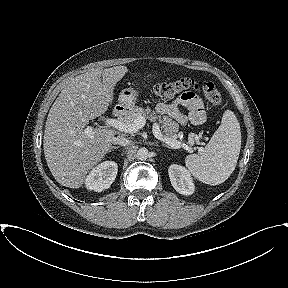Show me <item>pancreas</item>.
Here are the masks:
<instances>
[{
    "label": "pancreas",
    "instance_id": "1",
    "mask_svg": "<svg viewBox=\"0 0 288 288\" xmlns=\"http://www.w3.org/2000/svg\"><path fill=\"white\" fill-rule=\"evenodd\" d=\"M151 112L150 109H144L142 107L136 106L132 110L128 111L124 117L121 118V121L124 123H132L134 119H136L138 116H146ZM154 117V119H158L159 125L163 133L165 134L166 137L171 138V139H176L177 138V133L179 131V125L178 123L174 122L171 118L169 117H161V116H156L155 112L151 113Z\"/></svg>",
    "mask_w": 288,
    "mask_h": 288
}]
</instances>
